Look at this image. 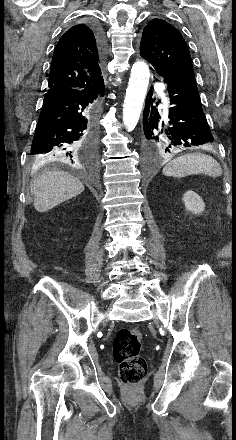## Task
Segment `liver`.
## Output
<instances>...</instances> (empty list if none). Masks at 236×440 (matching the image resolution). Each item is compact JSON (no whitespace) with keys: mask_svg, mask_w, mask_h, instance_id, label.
I'll return each mask as SVG.
<instances>
[{"mask_svg":"<svg viewBox=\"0 0 236 440\" xmlns=\"http://www.w3.org/2000/svg\"><path fill=\"white\" fill-rule=\"evenodd\" d=\"M83 191L84 185L81 181L64 171L42 173L34 180L31 189L34 208L40 213L47 212Z\"/></svg>","mask_w":236,"mask_h":440,"instance_id":"obj_1","label":"liver"}]
</instances>
